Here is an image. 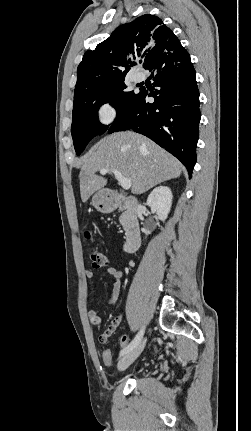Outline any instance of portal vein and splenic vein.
I'll return each mask as SVG.
<instances>
[{
    "label": "portal vein and splenic vein",
    "mask_w": 251,
    "mask_h": 431,
    "mask_svg": "<svg viewBox=\"0 0 251 431\" xmlns=\"http://www.w3.org/2000/svg\"><path fill=\"white\" fill-rule=\"evenodd\" d=\"M108 172H112L115 175V178L118 180L123 189L128 190L131 187V179L124 177L119 171L115 169L103 168L100 170V174L105 175Z\"/></svg>",
    "instance_id": "portal-vein-and-splenic-vein-1"
}]
</instances>
